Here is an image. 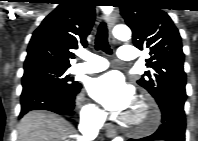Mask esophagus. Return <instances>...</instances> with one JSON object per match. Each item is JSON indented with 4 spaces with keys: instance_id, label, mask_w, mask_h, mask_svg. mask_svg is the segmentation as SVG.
Here are the masks:
<instances>
[{
    "instance_id": "obj_1",
    "label": "esophagus",
    "mask_w": 198,
    "mask_h": 141,
    "mask_svg": "<svg viewBox=\"0 0 198 141\" xmlns=\"http://www.w3.org/2000/svg\"><path fill=\"white\" fill-rule=\"evenodd\" d=\"M116 21H117V14L116 12H113L108 19V35H109V41L114 45L116 44V39L113 36V28L115 26ZM106 134L107 137L109 138L115 137L117 134L116 126L111 123L106 124Z\"/></svg>"
}]
</instances>
